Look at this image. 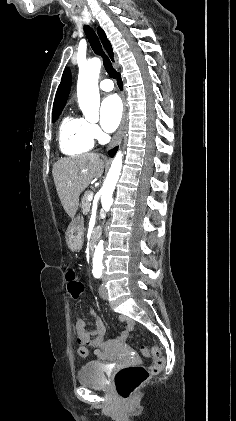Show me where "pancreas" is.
<instances>
[{
	"label": "pancreas",
	"instance_id": "cf45deb5",
	"mask_svg": "<svg viewBox=\"0 0 236 421\" xmlns=\"http://www.w3.org/2000/svg\"><path fill=\"white\" fill-rule=\"evenodd\" d=\"M88 194H93V190H85V194L82 198L83 215H88L91 206V202L88 200Z\"/></svg>",
	"mask_w": 236,
	"mask_h": 421
}]
</instances>
